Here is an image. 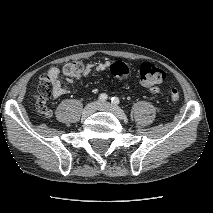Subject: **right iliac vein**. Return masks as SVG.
Returning <instances> with one entry per match:
<instances>
[{"label": "right iliac vein", "mask_w": 213, "mask_h": 213, "mask_svg": "<svg viewBox=\"0 0 213 213\" xmlns=\"http://www.w3.org/2000/svg\"><path fill=\"white\" fill-rule=\"evenodd\" d=\"M99 103L98 102H92L85 106V108L82 111L83 117H88L92 115L97 109H98Z\"/></svg>", "instance_id": "1"}]
</instances>
